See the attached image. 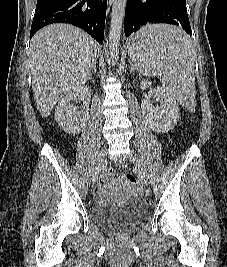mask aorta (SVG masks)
<instances>
[{
    "mask_svg": "<svg viewBox=\"0 0 227 267\" xmlns=\"http://www.w3.org/2000/svg\"><path fill=\"white\" fill-rule=\"evenodd\" d=\"M127 0H113L111 25L109 32V50L111 59L115 62L119 58V42L124 20Z\"/></svg>",
    "mask_w": 227,
    "mask_h": 267,
    "instance_id": "1",
    "label": "aorta"
}]
</instances>
